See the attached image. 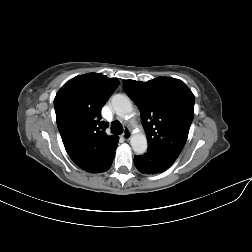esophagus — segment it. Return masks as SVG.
<instances>
[{"label": "esophagus", "instance_id": "obj_1", "mask_svg": "<svg viewBox=\"0 0 252 252\" xmlns=\"http://www.w3.org/2000/svg\"><path fill=\"white\" fill-rule=\"evenodd\" d=\"M130 137H131V132H130V130H129L128 128H125V129H124V132H123V138H124L125 140H129Z\"/></svg>", "mask_w": 252, "mask_h": 252}]
</instances>
